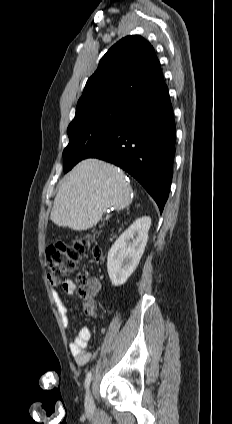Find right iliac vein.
Here are the masks:
<instances>
[{"label": "right iliac vein", "instance_id": "right-iliac-vein-1", "mask_svg": "<svg viewBox=\"0 0 232 424\" xmlns=\"http://www.w3.org/2000/svg\"><path fill=\"white\" fill-rule=\"evenodd\" d=\"M93 409H94V400L90 390H88L85 397V410L87 412H92Z\"/></svg>", "mask_w": 232, "mask_h": 424}]
</instances>
